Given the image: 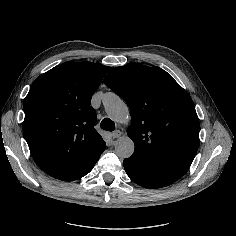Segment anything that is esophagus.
<instances>
[{"instance_id":"esophagus-1","label":"esophagus","mask_w":236,"mask_h":236,"mask_svg":"<svg viewBox=\"0 0 236 236\" xmlns=\"http://www.w3.org/2000/svg\"><path fill=\"white\" fill-rule=\"evenodd\" d=\"M121 134H122V132L120 130H116L115 132H113L112 138L116 139V138L120 137Z\"/></svg>"}]
</instances>
